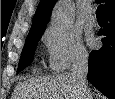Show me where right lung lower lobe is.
Wrapping results in <instances>:
<instances>
[{"instance_id":"98d812e1","label":"right lung lower lobe","mask_w":115,"mask_h":99,"mask_svg":"<svg viewBox=\"0 0 115 99\" xmlns=\"http://www.w3.org/2000/svg\"><path fill=\"white\" fill-rule=\"evenodd\" d=\"M105 26L99 30L103 47L89 56L88 81L109 99H115V8L104 13Z\"/></svg>"}]
</instances>
